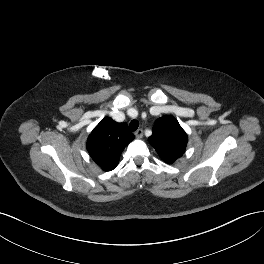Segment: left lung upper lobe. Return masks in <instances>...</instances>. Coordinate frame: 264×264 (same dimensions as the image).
<instances>
[{
	"instance_id": "left-lung-upper-lobe-1",
	"label": "left lung upper lobe",
	"mask_w": 264,
	"mask_h": 264,
	"mask_svg": "<svg viewBox=\"0 0 264 264\" xmlns=\"http://www.w3.org/2000/svg\"><path fill=\"white\" fill-rule=\"evenodd\" d=\"M149 142L164 162L172 164L185 152L188 137L174 117L165 116L155 122Z\"/></svg>"
}]
</instances>
